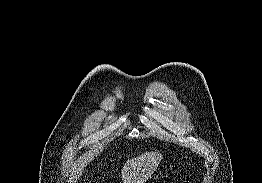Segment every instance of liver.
Instances as JSON below:
<instances>
[{
	"instance_id": "6515ba94",
	"label": "liver",
	"mask_w": 262,
	"mask_h": 183,
	"mask_svg": "<svg viewBox=\"0 0 262 183\" xmlns=\"http://www.w3.org/2000/svg\"><path fill=\"white\" fill-rule=\"evenodd\" d=\"M161 159L160 152L151 151L127 160L122 169L124 183H146L157 169Z\"/></svg>"
}]
</instances>
